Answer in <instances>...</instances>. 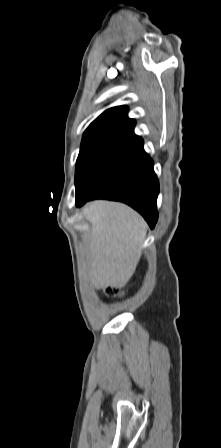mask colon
Segmentation results:
<instances>
[{
	"label": "colon",
	"instance_id": "1",
	"mask_svg": "<svg viewBox=\"0 0 221 448\" xmlns=\"http://www.w3.org/2000/svg\"><path fill=\"white\" fill-rule=\"evenodd\" d=\"M106 294L108 296H111V297H120L124 293L120 289H118V288L109 287V288L106 289Z\"/></svg>",
	"mask_w": 221,
	"mask_h": 448
}]
</instances>
